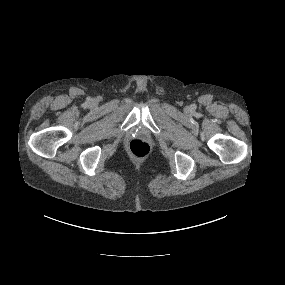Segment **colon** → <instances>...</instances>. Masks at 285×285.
<instances>
[{
  "mask_svg": "<svg viewBox=\"0 0 285 285\" xmlns=\"http://www.w3.org/2000/svg\"><path fill=\"white\" fill-rule=\"evenodd\" d=\"M129 151L136 158H144L149 154L150 146L141 139H135L130 142Z\"/></svg>",
  "mask_w": 285,
  "mask_h": 285,
  "instance_id": "5ec220e1",
  "label": "colon"
}]
</instances>
